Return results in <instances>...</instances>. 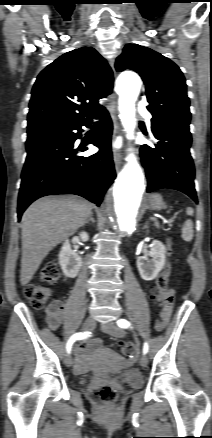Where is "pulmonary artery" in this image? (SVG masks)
Masks as SVG:
<instances>
[{
  "mask_svg": "<svg viewBox=\"0 0 212 438\" xmlns=\"http://www.w3.org/2000/svg\"><path fill=\"white\" fill-rule=\"evenodd\" d=\"M137 111L138 113L142 114L145 116V118L147 119V121H150L151 119V114L149 113V111L146 108V103L145 102H141L138 104L137 106Z\"/></svg>",
  "mask_w": 212,
  "mask_h": 438,
  "instance_id": "obj_1",
  "label": "pulmonary artery"
}]
</instances>
